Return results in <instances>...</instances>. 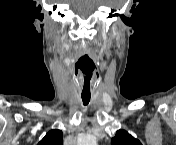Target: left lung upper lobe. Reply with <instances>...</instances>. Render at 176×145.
Wrapping results in <instances>:
<instances>
[{
  "mask_svg": "<svg viewBox=\"0 0 176 145\" xmlns=\"http://www.w3.org/2000/svg\"><path fill=\"white\" fill-rule=\"evenodd\" d=\"M112 145H141L140 141L135 139L125 130H118L115 137L111 140Z\"/></svg>",
  "mask_w": 176,
  "mask_h": 145,
  "instance_id": "5c2ea615",
  "label": "left lung upper lobe"
}]
</instances>
